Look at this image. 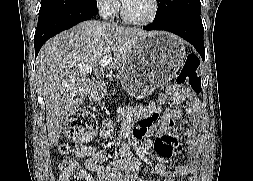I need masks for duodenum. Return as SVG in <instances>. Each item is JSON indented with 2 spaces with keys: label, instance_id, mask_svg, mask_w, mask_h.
I'll return each instance as SVG.
<instances>
[{
  "label": "duodenum",
  "instance_id": "1",
  "mask_svg": "<svg viewBox=\"0 0 253 181\" xmlns=\"http://www.w3.org/2000/svg\"><path fill=\"white\" fill-rule=\"evenodd\" d=\"M105 94V87L101 83H97L92 91L89 93V97L92 101H100Z\"/></svg>",
  "mask_w": 253,
  "mask_h": 181
}]
</instances>
